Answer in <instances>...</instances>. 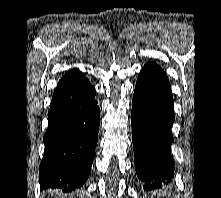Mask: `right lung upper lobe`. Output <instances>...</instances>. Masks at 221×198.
Here are the masks:
<instances>
[{"label":"right lung upper lobe","mask_w":221,"mask_h":198,"mask_svg":"<svg viewBox=\"0 0 221 198\" xmlns=\"http://www.w3.org/2000/svg\"><path fill=\"white\" fill-rule=\"evenodd\" d=\"M78 73H80V72L77 69L72 70L70 73L64 75V77L61 78V80L58 82V84L66 81V80H68V79H70L72 77H74Z\"/></svg>","instance_id":"cb5924a9"}]
</instances>
